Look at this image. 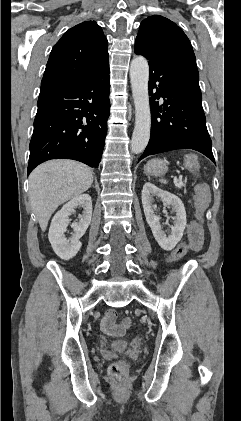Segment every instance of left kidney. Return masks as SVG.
<instances>
[{"mask_svg":"<svg viewBox=\"0 0 241 421\" xmlns=\"http://www.w3.org/2000/svg\"><path fill=\"white\" fill-rule=\"evenodd\" d=\"M154 197L160 198L176 212L173 222L174 225L171 226V233L168 236L162 230L160 217L154 213L152 205ZM142 205L146 221L151 227L152 233L159 246L166 251L172 250L181 240L186 227V211L184 204L176 195L161 190L154 184L147 182L144 184L142 190Z\"/></svg>","mask_w":241,"mask_h":421,"instance_id":"1","label":"left kidney"}]
</instances>
